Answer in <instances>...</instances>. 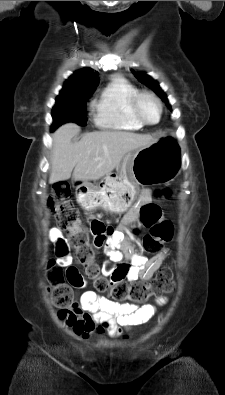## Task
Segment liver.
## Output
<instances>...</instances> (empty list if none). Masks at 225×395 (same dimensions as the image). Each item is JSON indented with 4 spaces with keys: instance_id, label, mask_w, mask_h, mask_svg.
Instances as JSON below:
<instances>
[{
    "instance_id": "6515ba94",
    "label": "liver",
    "mask_w": 225,
    "mask_h": 395,
    "mask_svg": "<svg viewBox=\"0 0 225 395\" xmlns=\"http://www.w3.org/2000/svg\"><path fill=\"white\" fill-rule=\"evenodd\" d=\"M79 132L77 124L67 123L52 135L50 184L68 180L74 170L73 180L88 185L110 174L127 153L155 142V138L149 134L96 131L72 143V138Z\"/></svg>"
}]
</instances>
